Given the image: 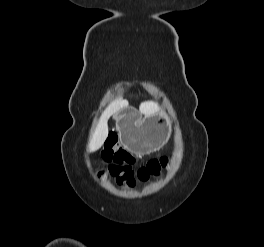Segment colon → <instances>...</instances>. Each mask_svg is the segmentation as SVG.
<instances>
[{
	"mask_svg": "<svg viewBox=\"0 0 264 247\" xmlns=\"http://www.w3.org/2000/svg\"><path fill=\"white\" fill-rule=\"evenodd\" d=\"M104 159L112 162L111 175L115 176L119 183H126L128 186L134 185L135 178L145 181L151 176H157L161 168L169 162L166 156L154 158L134 172L131 167L135 160L134 156L118 145V138L114 133L107 138Z\"/></svg>",
	"mask_w": 264,
	"mask_h": 247,
	"instance_id": "1",
	"label": "colon"
}]
</instances>
